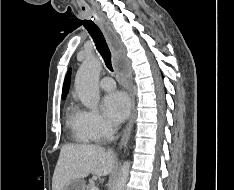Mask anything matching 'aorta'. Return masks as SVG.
<instances>
[{
	"instance_id": "aorta-1",
	"label": "aorta",
	"mask_w": 234,
	"mask_h": 190,
	"mask_svg": "<svg viewBox=\"0 0 234 190\" xmlns=\"http://www.w3.org/2000/svg\"><path fill=\"white\" fill-rule=\"evenodd\" d=\"M101 61L96 56H88L79 67L75 88L79 99L89 109H95L98 105L100 94L98 88ZM130 162L125 161L118 173L113 190H124L129 177Z\"/></svg>"
}]
</instances>
